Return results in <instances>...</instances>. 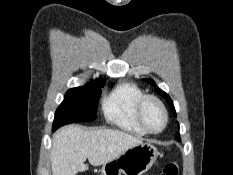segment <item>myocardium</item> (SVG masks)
<instances>
[{
    "label": "myocardium",
    "instance_id": "f54148a6",
    "mask_svg": "<svg viewBox=\"0 0 233 175\" xmlns=\"http://www.w3.org/2000/svg\"><path fill=\"white\" fill-rule=\"evenodd\" d=\"M149 101L155 102L163 113L164 123H163V126L159 130L150 129L145 121L144 107L146 103ZM136 116H137L139 123L146 130V132L153 133V134L162 132L166 128L167 123H168V112H167L166 106L164 105L163 101L155 95L148 94V95H144L143 97L139 99L136 105Z\"/></svg>",
    "mask_w": 233,
    "mask_h": 175
}]
</instances>
